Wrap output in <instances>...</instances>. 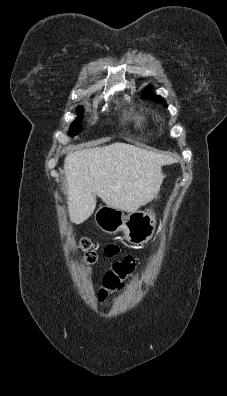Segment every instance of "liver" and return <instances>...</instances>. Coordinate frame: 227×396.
<instances>
[{
	"label": "liver",
	"instance_id": "obj_1",
	"mask_svg": "<svg viewBox=\"0 0 227 396\" xmlns=\"http://www.w3.org/2000/svg\"><path fill=\"white\" fill-rule=\"evenodd\" d=\"M174 161L168 155L122 142L69 153L64 173L71 221H86L95 210L96 196L107 206L125 212L137 210L157 193L162 166Z\"/></svg>",
	"mask_w": 227,
	"mask_h": 396
}]
</instances>
